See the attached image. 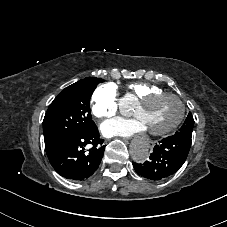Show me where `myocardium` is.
<instances>
[{
    "mask_svg": "<svg viewBox=\"0 0 227 227\" xmlns=\"http://www.w3.org/2000/svg\"><path fill=\"white\" fill-rule=\"evenodd\" d=\"M163 96L173 97L179 103L180 114H179L178 118L176 119V121L167 129L162 130V131H148V133L150 135L156 136V137H163V136L169 134L170 132L176 130L181 125V123L183 122V120L185 119V116H186L187 109H186V104H185L183 98L180 95L173 93V92L160 91V92L145 95L138 100V104H140V105L148 104Z\"/></svg>",
    "mask_w": 227,
    "mask_h": 227,
    "instance_id": "f54148a6",
    "label": "myocardium"
}]
</instances>
